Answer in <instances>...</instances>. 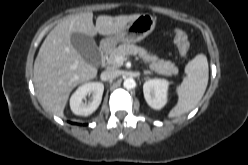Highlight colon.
Listing matches in <instances>:
<instances>
[{
	"mask_svg": "<svg viewBox=\"0 0 248 165\" xmlns=\"http://www.w3.org/2000/svg\"><path fill=\"white\" fill-rule=\"evenodd\" d=\"M174 42L180 55L185 56L190 50V41L185 31L177 29L174 31Z\"/></svg>",
	"mask_w": 248,
	"mask_h": 165,
	"instance_id": "5ec220e1",
	"label": "colon"
}]
</instances>
